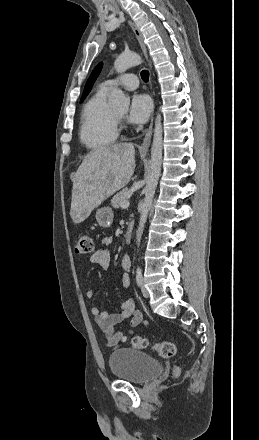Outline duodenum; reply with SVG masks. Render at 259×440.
I'll list each match as a JSON object with an SVG mask.
<instances>
[{
	"label": "duodenum",
	"instance_id": "1",
	"mask_svg": "<svg viewBox=\"0 0 259 440\" xmlns=\"http://www.w3.org/2000/svg\"><path fill=\"white\" fill-rule=\"evenodd\" d=\"M133 224L129 223L127 225L126 231H125V241L127 243H130L132 241V237H133Z\"/></svg>",
	"mask_w": 259,
	"mask_h": 440
}]
</instances>
